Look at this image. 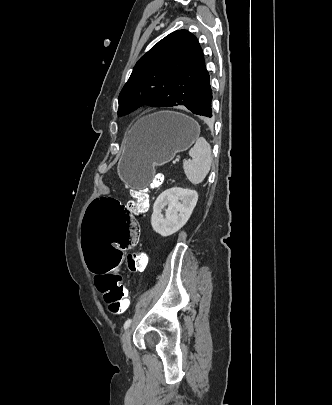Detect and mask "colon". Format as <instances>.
<instances>
[{"label":"colon","instance_id":"obj_1","mask_svg":"<svg viewBox=\"0 0 332 405\" xmlns=\"http://www.w3.org/2000/svg\"><path fill=\"white\" fill-rule=\"evenodd\" d=\"M161 182L162 178L156 177L153 184ZM130 195L128 206L132 210L142 213L148 209L145 189H133ZM134 211H129L126 202H120V197H95L93 202H88V211H85L81 242L85 268L95 273L98 290L112 315L122 314L129 304L128 291L118 269L124 268L122 257H126L128 270L132 273H142L147 267L145 254L126 256L127 249H136L141 236Z\"/></svg>","mask_w":332,"mask_h":405}]
</instances>
